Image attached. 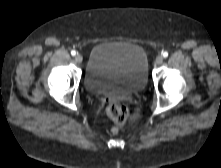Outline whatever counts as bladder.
<instances>
[{"label": "bladder", "instance_id": "31cf9c89", "mask_svg": "<svg viewBox=\"0 0 221 168\" xmlns=\"http://www.w3.org/2000/svg\"><path fill=\"white\" fill-rule=\"evenodd\" d=\"M148 71V57L142 46L101 43L89 54L84 84L94 94L124 97L145 88Z\"/></svg>", "mask_w": 221, "mask_h": 168}]
</instances>
